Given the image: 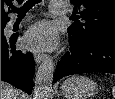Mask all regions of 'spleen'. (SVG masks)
<instances>
[{"label": "spleen", "instance_id": "spleen-1", "mask_svg": "<svg viewBox=\"0 0 115 99\" xmlns=\"http://www.w3.org/2000/svg\"><path fill=\"white\" fill-rule=\"evenodd\" d=\"M112 94H113V96H114V98H115V86H114V88H113Z\"/></svg>", "mask_w": 115, "mask_h": 99}]
</instances>
